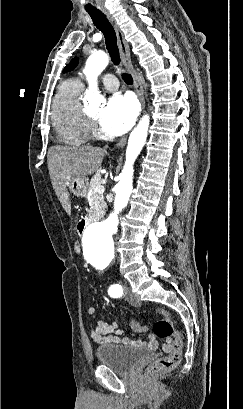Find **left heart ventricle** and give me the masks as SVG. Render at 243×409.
Here are the masks:
<instances>
[{"instance_id": "left-heart-ventricle-1", "label": "left heart ventricle", "mask_w": 243, "mask_h": 409, "mask_svg": "<svg viewBox=\"0 0 243 409\" xmlns=\"http://www.w3.org/2000/svg\"><path fill=\"white\" fill-rule=\"evenodd\" d=\"M99 112H100L99 109H95V110L90 111L89 114L93 116L94 118H97L99 116Z\"/></svg>"}]
</instances>
